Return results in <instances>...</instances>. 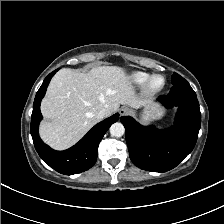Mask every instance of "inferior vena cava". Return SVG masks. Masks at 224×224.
Returning <instances> with one entry per match:
<instances>
[{
  "label": "inferior vena cava",
  "mask_w": 224,
  "mask_h": 224,
  "mask_svg": "<svg viewBox=\"0 0 224 224\" xmlns=\"http://www.w3.org/2000/svg\"><path fill=\"white\" fill-rule=\"evenodd\" d=\"M107 110L105 109V108H102L99 112H98V114H97V118L99 119V120H101V119H104L105 117H107Z\"/></svg>",
  "instance_id": "obj_1"
}]
</instances>
